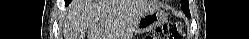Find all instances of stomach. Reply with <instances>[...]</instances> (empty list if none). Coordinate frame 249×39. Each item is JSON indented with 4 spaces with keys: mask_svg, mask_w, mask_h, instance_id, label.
Instances as JSON below:
<instances>
[{
    "mask_svg": "<svg viewBox=\"0 0 249 39\" xmlns=\"http://www.w3.org/2000/svg\"><path fill=\"white\" fill-rule=\"evenodd\" d=\"M167 15L161 10H151L143 14L135 24V33L149 32L165 22Z\"/></svg>",
    "mask_w": 249,
    "mask_h": 39,
    "instance_id": "obj_1",
    "label": "stomach"
}]
</instances>
